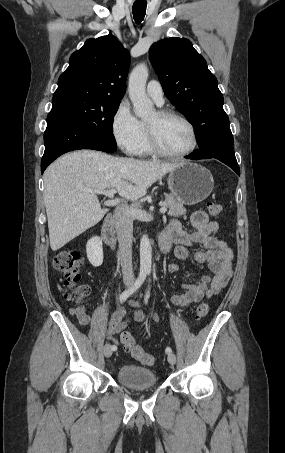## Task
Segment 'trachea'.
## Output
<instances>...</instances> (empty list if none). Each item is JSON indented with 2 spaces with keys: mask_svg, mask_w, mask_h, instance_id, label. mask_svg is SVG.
<instances>
[{
  "mask_svg": "<svg viewBox=\"0 0 285 453\" xmlns=\"http://www.w3.org/2000/svg\"><path fill=\"white\" fill-rule=\"evenodd\" d=\"M147 2L145 0H137L132 7L133 17L136 23L143 21L146 14Z\"/></svg>",
  "mask_w": 285,
  "mask_h": 453,
  "instance_id": "3493384b",
  "label": "trachea"
}]
</instances>
